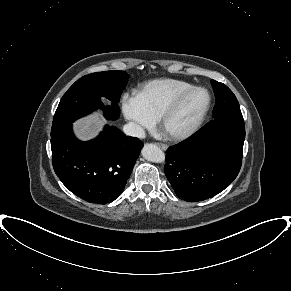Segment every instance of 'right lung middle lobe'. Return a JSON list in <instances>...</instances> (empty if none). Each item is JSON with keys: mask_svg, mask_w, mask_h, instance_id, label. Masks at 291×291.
I'll return each mask as SVG.
<instances>
[{"mask_svg": "<svg viewBox=\"0 0 291 291\" xmlns=\"http://www.w3.org/2000/svg\"><path fill=\"white\" fill-rule=\"evenodd\" d=\"M128 78L129 75L124 71H105L92 73L77 80L64 94L57 107L51 136L98 108L104 110L105 118H118V102ZM102 96L112 102V107H104L100 99Z\"/></svg>", "mask_w": 291, "mask_h": 291, "instance_id": "right-lung-middle-lobe-1", "label": "right lung middle lobe"}]
</instances>
